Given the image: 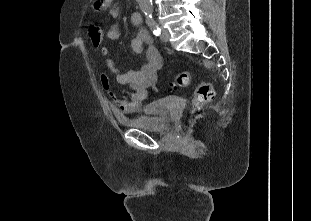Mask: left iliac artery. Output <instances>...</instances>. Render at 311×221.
I'll return each mask as SVG.
<instances>
[{
  "label": "left iliac artery",
  "mask_w": 311,
  "mask_h": 221,
  "mask_svg": "<svg viewBox=\"0 0 311 221\" xmlns=\"http://www.w3.org/2000/svg\"><path fill=\"white\" fill-rule=\"evenodd\" d=\"M146 23L148 24V26L150 27L151 31L153 32L154 35L159 36L161 33V30L157 24V22L150 18L146 20Z\"/></svg>",
  "instance_id": "obj_1"
}]
</instances>
